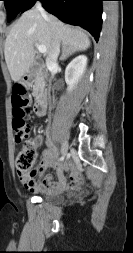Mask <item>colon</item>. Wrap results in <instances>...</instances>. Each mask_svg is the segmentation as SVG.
I'll return each instance as SVG.
<instances>
[{
	"mask_svg": "<svg viewBox=\"0 0 133 253\" xmlns=\"http://www.w3.org/2000/svg\"><path fill=\"white\" fill-rule=\"evenodd\" d=\"M28 100L25 97V89L22 86L14 88L12 96L13 106V130L15 141L22 143L24 146L16 158V167L18 171H28L34 164L35 138L31 136L30 125L25 120Z\"/></svg>",
	"mask_w": 133,
	"mask_h": 253,
	"instance_id": "colon-1",
	"label": "colon"
}]
</instances>
